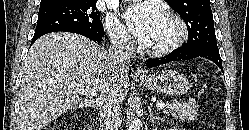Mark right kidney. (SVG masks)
<instances>
[{"mask_svg": "<svg viewBox=\"0 0 249 130\" xmlns=\"http://www.w3.org/2000/svg\"><path fill=\"white\" fill-rule=\"evenodd\" d=\"M87 129H88V130H92V128H91V127H88Z\"/></svg>", "mask_w": 249, "mask_h": 130, "instance_id": "right-kidney-1", "label": "right kidney"}]
</instances>
